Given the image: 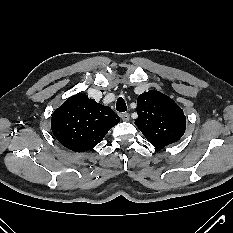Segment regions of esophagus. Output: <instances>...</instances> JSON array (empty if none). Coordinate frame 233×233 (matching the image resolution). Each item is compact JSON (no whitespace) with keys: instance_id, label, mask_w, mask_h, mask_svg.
Wrapping results in <instances>:
<instances>
[{"instance_id":"34e87169","label":"esophagus","mask_w":233,"mask_h":233,"mask_svg":"<svg viewBox=\"0 0 233 233\" xmlns=\"http://www.w3.org/2000/svg\"><path fill=\"white\" fill-rule=\"evenodd\" d=\"M123 121H129L130 120V115L128 113H122L120 115Z\"/></svg>"}]
</instances>
